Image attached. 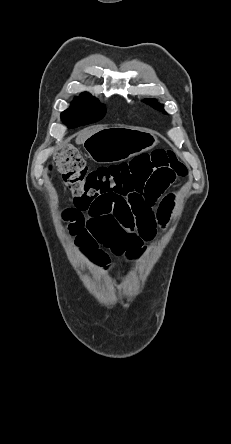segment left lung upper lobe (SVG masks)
<instances>
[{
    "instance_id": "5c2ea615",
    "label": "left lung upper lobe",
    "mask_w": 231,
    "mask_h": 444,
    "mask_svg": "<svg viewBox=\"0 0 231 444\" xmlns=\"http://www.w3.org/2000/svg\"><path fill=\"white\" fill-rule=\"evenodd\" d=\"M144 101H145L146 103H148V104H151V105L154 106L155 108H157V109L162 110L163 112H165L164 109H163V106L160 105V104H158V103L156 102L155 99H145Z\"/></svg>"
}]
</instances>
